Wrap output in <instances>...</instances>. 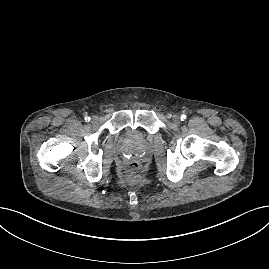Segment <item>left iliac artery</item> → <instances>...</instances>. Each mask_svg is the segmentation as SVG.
Listing matches in <instances>:
<instances>
[{"label": "left iliac artery", "instance_id": "left-iliac-artery-1", "mask_svg": "<svg viewBox=\"0 0 269 269\" xmlns=\"http://www.w3.org/2000/svg\"><path fill=\"white\" fill-rule=\"evenodd\" d=\"M186 119V115L185 114H182L181 115V120L183 121V120H185Z\"/></svg>", "mask_w": 269, "mask_h": 269}]
</instances>
